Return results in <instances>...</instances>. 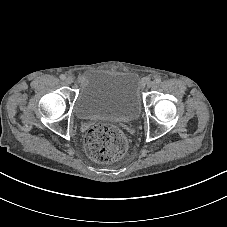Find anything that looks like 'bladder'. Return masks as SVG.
<instances>
[{
	"label": "bladder",
	"mask_w": 227,
	"mask_h": 227,
	"mask_svg": "<svg viewBox=\"0 0 227 227\" xmlns=\"http://www.w3.org/2000/svg\"><path fill=\"white\" fill-rule=\"evenodd\" d=\"M140 92L133 72L94 71L84 79L73 111L82 121L106 118L132 123L141 115Z\"/></svg>",
	"instance_id": "1"
}]
</instances>
